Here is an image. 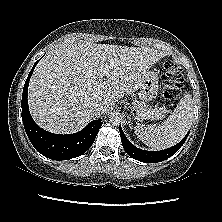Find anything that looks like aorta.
I'll return each instance as SVG.
<instances>
[{"instance_id": "1", "label": "aorta", "mask_w": 222, "mask_h": 222, "mask_svg": "<svg viewBox=\"0 0 222 222\" xmlns=\"http://www.w3.org/2000/svg\"><path fill=\"white\" fill-rule=\"evenodd\" d=\"M121 120H122V117L117 112H112L110 117H109V121L113 125H119L121 123Z\"/></svg>"}]
</instances>
